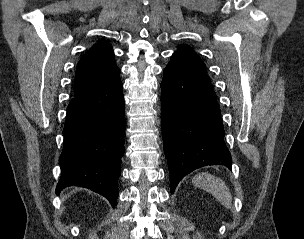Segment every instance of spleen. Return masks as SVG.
Masks as SVG:
<instances>
[{"label": "spleen", "mask_w": 304, "mask_h": 239, "mask_svg": "<svg viewBox=\"0 0 304 239\" xmlns=\"http://www.w3.org/2000/svg\"><path fill=\"white\" fill-rule=\"evenodd\" d=\"M192 182L194 186L212 194L225 208H231V193L222 179L209 173H201L193 177Z\"/></svg>", "instance_id": "3e777b00"}]
</instances>
